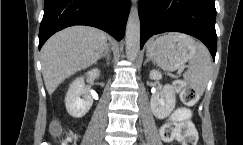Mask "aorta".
I'll use <instances>...</instances> for the list:
<instances>
[{
	"instance_id": "762f6f07",
	"label": "aorta",
	"mask_w": 243,
	"mask_h": 145,
	"mask_svg": "<svg viewBox=\"0 0 243 145\" xmlns=\"http://www.w3.org/2000/svg\"><path fill=\"white\" fill-rule=\"evenodd\" d=\"M140 51V19L136 7H132L126 26V55L135 60Z\"/></svg>"
}]
</instances>
